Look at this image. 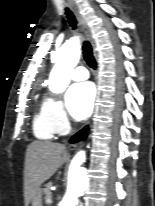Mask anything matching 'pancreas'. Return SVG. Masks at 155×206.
<instances>
[{
	"mask_svg": "<svg viewBox=\"0 0 155 206\" xmlns=\"http://www.w3.org/2000/svg\"><path fill=\"white\" fill-rule=\"evenodd\" d=\"M51 186H52V183L46 184V187L43 191L45 194V201L47 204L51 203V191H50Z\"/></svg>",
	"mask_w": 155,
	"mask_h": 206,
	"instance_id": "obj_1",
	"label": "pancreas"
}]
</instances>
